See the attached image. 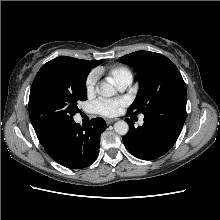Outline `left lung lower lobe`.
<instances>
[{
	"instance_id": "0a47b994",
	"label": "left lung lower lobe",
	"mask_w": 220,
	"mask_h": 220,
	"mask_svg": "<svg viewBox=\"0 0 220 220\" xmlns=\"http://www.w3.org/2000/svg\"><path fill=\"white\" fill-rule=\"evenodd\" d=\"M144 116V124L137 128L127 119L129 132L122 140L133 156L153 160L167 153L177 141L186 119V104L159 107Z\"/></svg>"
}]
</instances>
